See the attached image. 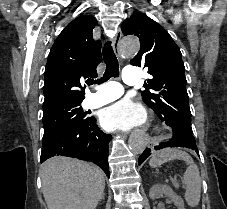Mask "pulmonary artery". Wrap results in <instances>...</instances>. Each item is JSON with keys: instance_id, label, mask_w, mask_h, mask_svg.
Segmentation results:
<instances>
[{"instance_id": "1", "label": "pulmonary artery", "mask_w": 227, "mask_h": 209, "mask_svg": "<svg viewBox=\"0 0 227 209\" xmlns=\"http://www.w3.org/2000/svg\"><path fill=\"white\" fill-rule=\"evenodd\" d=\"M141 71L136 70V66H125L123 71V79L122 82L131 85L133 83H138L139 79L137 75H140ZM127 78V79H124ZM96 87H92L91 91H86V98L84 104L88 108H96L103 106L123 94V90L121 89V84H108L106 82H96ZM104 88L103 92L101 87ZM96 92V93H95Z\"/></svg>"}]
</instances>
